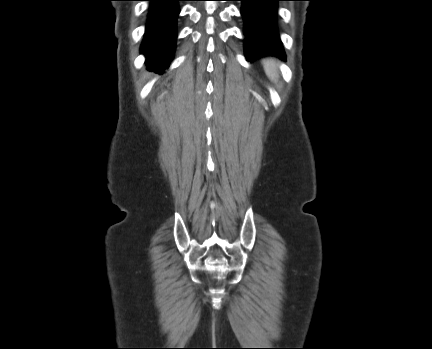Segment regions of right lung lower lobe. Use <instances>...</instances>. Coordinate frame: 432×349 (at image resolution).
<instances>
[{
  "instance_id": "obj_1",
  "label": "right lung lower lobe",
  "mask_w": 432,
  "mask_h": 349,
  "mask_svg": "<svg viewBox=\"0 0 432 349\" xmlns=\"http://www.w3.org/2000/svg\"><path fill=\"white\" fill-rule=\"evenodd\" d=\"M150 1L148 23L142 53L151 70L162 72L172 59L176 41V18L179 14L178 1L181 0H147Z\"/></svg>"
}]
</instances>
